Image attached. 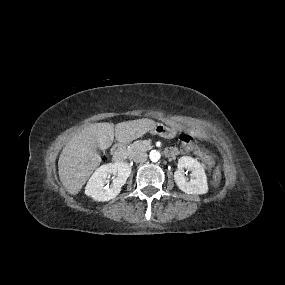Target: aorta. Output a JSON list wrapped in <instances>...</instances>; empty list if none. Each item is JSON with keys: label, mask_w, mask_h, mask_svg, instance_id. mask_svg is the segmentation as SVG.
<instances>
[{"label": "aorta", "mask_w": 285, "mask_h": 285, "mask_svg": "<svg viewBox=\"0 0 285 285\" xmlns=\"http://www.w3.org/2000/svg\"><path fill=\"white\" fill-rule=\"evenodd\" d=\"M160 157H161V154H160L159 151H157V150H152V151L150 152L149 158H150V160H151L152 162H157V161L160 159Z\"/></svg>", "instance_id": "obj_1"}]
</instances>
